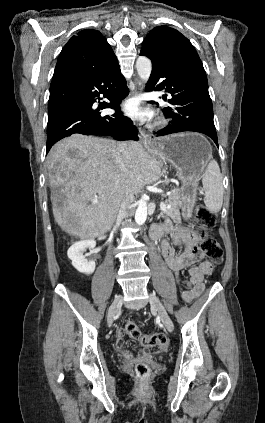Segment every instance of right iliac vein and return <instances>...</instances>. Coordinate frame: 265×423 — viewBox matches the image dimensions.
<instances>
[{"instance_id":"1","label":"right iliac vein","mask_w":265,"mask_h":423,"mask_svg":"<svg viewBox=\"0 0 265 423\" xmlns=\"http://www.w3.org/2000/svg\"><path fill=\"white\" fill-rule=\"evenodd\" d=\"M122 303H123L122 296H118L113 301L112 305L109 308L108 315H107V323H108V326H111L112 325L114 316L120 310V308L122 306Z\"/></svg>"}]
</instances>
